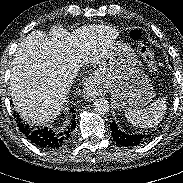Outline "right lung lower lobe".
Wrapping results in <instances>:
<instances>
[{
  "label": "right lung lower lobe",
  "instance_id": "1",
  "mask_svg": "<svg viewBox=\"0 0 183 183\" xmlns=\"http://www.w3.org/2000/svg\"><path fill=\"white\" fill-rule=\"evenodd\" d=\"M70 111H73V108H70ZM74 112H72L73 114ZM16 122L18 123V127L20 131L36 146L41 148H49V149H56L62 147L68 142V139L71 135V132L75 128L76 122L75 120L72 121L70 126L65 130L63 133H56L51 129L46 127L44 128H33L28 124L22 122V119L19 118V115H15ZM75 115L73 114V118Z\"/></svg>",
  "mask_w": 183,
  "mask_h": 183
}]
</instances>
